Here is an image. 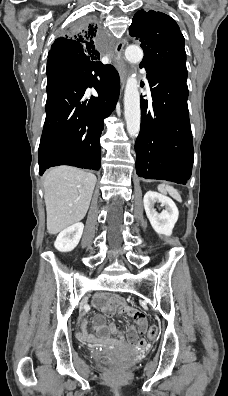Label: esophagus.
I'll return each mask as SVG.
<instances>
[{"instance_id":"34e87169","label":"esophagus","mask_w":228,"mask_h":396,"mask_svg":"<svg viewBox=\"0 0 228 396\" xmlns=\"http://www.w3.org/2000/svg\"><path fill=\"white\" fill-rule=\"evenodd\" d=\"M125 43H126V40L122 39L121 41H119V43L116 45V48H115L116 68H117V70L119 72L120 79H121V82H122L123 85L125 83V79H126V76H127L126 65H125V62H124L123 56H122Z\"/></svg>"}]
</instances>
